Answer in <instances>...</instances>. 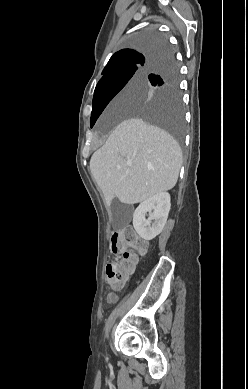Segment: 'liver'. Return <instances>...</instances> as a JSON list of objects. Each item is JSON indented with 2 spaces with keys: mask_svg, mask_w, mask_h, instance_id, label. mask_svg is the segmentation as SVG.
<instances>
[{
  "mask_svg": "<svg viewBox=\"0 0 248 389\" xmlns=\"http://www.w3.org/2000/svg\"><path fill=\"white\" fill-rule=\"evenodd\" d=\"M133 96L130 84L115 104L128 106L134 102ZM181 165V148L168 132L130 118L121 122L92 155L90 171L110 206L115 197L121 203L136 204L172 189Z\"/></svg>",
  "mask_w": 248,
  "mask_h": 389,
  "instance_id": "6515ba94",
  "label": "liver"
}]
</instances>
